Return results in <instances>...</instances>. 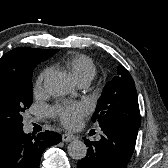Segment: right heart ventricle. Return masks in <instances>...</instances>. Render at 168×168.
Instances as JSON below:
<instances>
[{
	"label": "right heart ventricle",
	"mask_w": 168,
	"mask_h": 168,
	"mask_svg": "<svg viewBox=\"0 0 168 168\" xmlns=\"http://www.w3.org/2000/svg\"><path fill=\"white\" fill-rule=\"evenodd\" d=\"M64 66L77 83L91 81L96 75V66L93 60L86 55L75 54L68 56L64 60Z\"/></svg>",
	"instance_id": "obj_1"
}]
</instances>
